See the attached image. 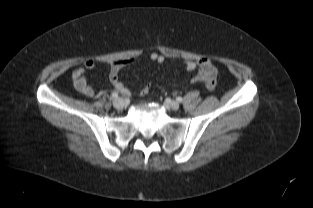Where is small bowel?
I'll return each mask as SVG.
<instances>
[{
    "mask_svg": "<svg viewBox=\"0 0 313 208\" xmlns=\"http://www.w3.org/2000/svg\"><path fill=\"white\" fill-rule=\"evenodd\" d=\"M150 59L157 63H163L165 57L162 54L153 52L150 54ZM132 61V58H125L115 60L110 65L109 80L114 89L119 91L125 96L130 95V91L125 87V85L120 82L118 75L122 68ZM96 66V61L94 59H87L84 61L83 66L75 69L72 73L73 86L77 92L87 97H97L103 94V92L95 93V90L86 79V72L88 70L94 69ZM186 69L188 71L197 70V74L194 77L195 82H205V80L211 75L216 74V69L211 60L207 58H201L198 60H187L185 62Z\"/></svg>",
    "mask_w": 313,
    "mask_h": 208,
    "instance_id": "c3829d8e",
    "label": "small bowel"
}]
</instances>
